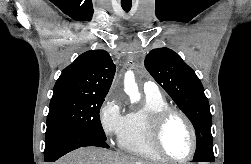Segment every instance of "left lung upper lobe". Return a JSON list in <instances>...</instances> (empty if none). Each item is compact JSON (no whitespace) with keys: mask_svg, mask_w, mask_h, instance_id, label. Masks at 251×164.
Wrapping results in <instances>:
<instances>
[{"mask_svg":"<svg viewBox=\"0 0 251 164\" xmlns=\"http://www.w3.org/2000/svg\"><path fill=\"white\" fill-rule=\"evenodd\" d=\"M145 67L191 120L197 135L194 159L214 160L211 113L195 72L169 48L152 50Z\"/></svg>","mask_w":251,"mask_h":164,"instance_id":"left-lung-upper-lobe-1","label":"left lung upper lobe"}]
</instances>
